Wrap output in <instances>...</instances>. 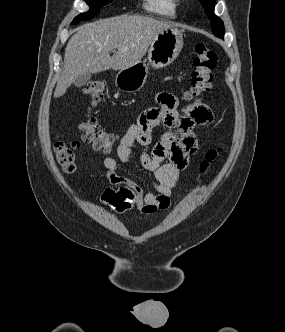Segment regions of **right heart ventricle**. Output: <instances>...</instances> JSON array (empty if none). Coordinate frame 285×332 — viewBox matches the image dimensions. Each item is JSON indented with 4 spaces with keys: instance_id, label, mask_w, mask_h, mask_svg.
Instances as JSON below:
<instances>
[{
    "instance_id": "right-heart-ventricle-1",
    "label": "right heart ventricle",
    "mask_w": 285,
    "mask_h": 332,
    "mask_svg": "<svg viewBox=\"0 0 285 332\" xmlns=\"http://www.w3.org/2000/svg\"><path fill=\"white\" fill-rule=\"evenodd\" d=\"M177 7L178 0H143L144 10L160 18H175Z\"/></svg>"
}]
</instances>
